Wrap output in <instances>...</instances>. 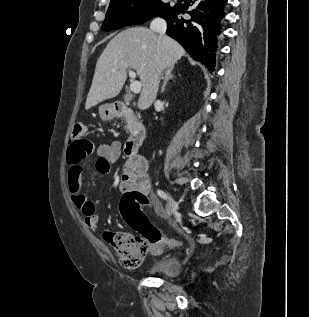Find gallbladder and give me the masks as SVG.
Listing matches in <instances>:
<instances>
[{"label":"gallbladder","instance_id":"gallbladder-1","mask_svg":"<svg viewBox=\"0 0 309 317\" xmlns=\"http://www.w3.org/2000/svg\"><path fill=\"white\" fill-rule=\"evenodd\" d=\"M124 100H125V102H128V101H129V97L126 96V97L124 98Z\"/></svg>","mask_w":309,"mask_h":317}]
</instances>
